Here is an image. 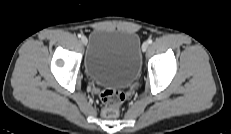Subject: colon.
<instances>
[{"label":"colon","instance_id":"1","mask_svg":"<svg viewBox=\"0 0 231 134\" xmlns=\"http://www.w3.org/2000/svg\"><path fill=\"white\" fill-rule=\"evenodd\" d=\"M125 96L122 92L116 90H105L100 94L102 103L101 113L104 117L114 118L119 113L120 105L123 103Z\"/></svg>","mask_w":231,"mask_h":134}]
</instances>
